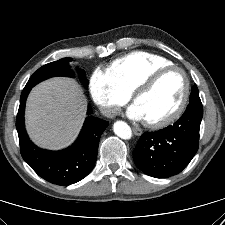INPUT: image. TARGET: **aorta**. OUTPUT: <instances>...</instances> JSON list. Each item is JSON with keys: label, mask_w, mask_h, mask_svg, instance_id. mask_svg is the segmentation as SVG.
I'll list each match as a JSON object with an SVG mask.
<instances>
[{"label": "aorta", "mask_w": 225, "mask_h": 225, "mask_svg": "<svg viewBox=\"0 0 225 225\" xmlns=\"http://www.w3.org/2000/svg\"><path fill=\"white\" fill-rule=\"evenodd\" d=\"M114 133L121 139L128 140L132 137L130 126L124 121H116L113 125Z\"/></svg>", "instance_id": "obj_1"}]
</instances>
